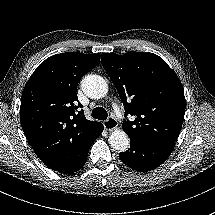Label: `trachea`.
Instances as JSON below:
<instances>
[{
  "instance_id": "1",
  "label": "trachea",
  "mask_w": 215,
  "mask_h": 215,
  "mask_svg": "<svg viewBox=\"0 0 215 215\" xmlns=\"http://www.w3.org/2000/svg\"><path fill=\"white\" fill-rule=\"evenodd\" d=\"M91 116L98 120H106L107 111L103 107H96L93 109Z\"/></svg>"
}]
</instances>
